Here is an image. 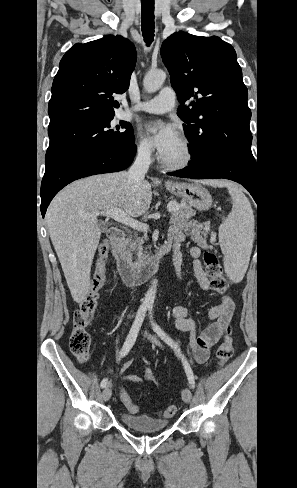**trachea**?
<instances>
[{
	"instance_id": "3493384b",
	"label": "trachea",
	"mask_w": 297,
	"mask_h": 488,
	"mask_svg": "<svg viewBox=\"0 0 297 488\" xmlns=\"http://www.w3.org/2000/svg\"><path fill=\"white\" fill-rule=\"evenodd\" d=\"M141 29L144 41L149 46L154 40V2H142Z\"/></svg>"
}]
</instances>
